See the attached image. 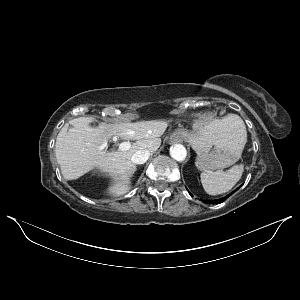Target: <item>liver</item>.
<instances>
[{"instance_id": "liver-1", "label": "liver", "mask_w": 300, "mask_h": 300, "mask_svg": "<svg viewBox=\"0 0 300 300\" xmlns=\"http://www.w3.org/2000/svg\"><path fill=\"white\" fill-rule=\"evenodd\" d=\"M92 119L79 117L73 119L71 128L63 127L59 132L55 155L63 177L74 180L97 169L115 181L108 188L112 196H120L130 189L132 171L135 167L132 155L138 150L157 151L161 136L168 123L161 120L135 123L106 124L97 127L90 124ZM111 137L135 140L129 150L104 151Z\"/></svg>"}]
</instances>
